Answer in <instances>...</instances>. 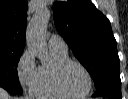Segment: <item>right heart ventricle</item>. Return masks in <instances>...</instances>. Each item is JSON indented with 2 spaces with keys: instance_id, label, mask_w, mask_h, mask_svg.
I'll return each instance as SVG.
<instances>
[{
  "instance_id": "obj_1",
  "label": "right heart ventricle",
  "mask_w": 128,
  "mask_h": 99,
  "mask_svg": "<svg viewBox=\"0 0 128 99\" xmlns=\"http://www.w3.org/2000/svg\"><path fill=\"white\" fill-rule=\"evenodd\" d=\"M50 57L49 63L38 67L31 93L39 99H64L66 97L59 92L55 84V69L60 63L69 59L68 53L50 49Z\"/></svg>"
}]
</instances>
